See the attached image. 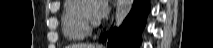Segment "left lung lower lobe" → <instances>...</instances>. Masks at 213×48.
<instances>
[{
  "mask_svg": "<svg viewBox=\"0 0 213 48\" xmlns=\"http://www.w3.org/2000/svg\"><path fill=\"white\" fill-rule=\"evenodd\" d=\"M148 11L149 0H135L131 12L120 29L111 28L108 36V48H137ZM106 39L107 33H104L100 37V41L104 42Z\"/></svg>",
  "mask_w": 213,
  "mask_h": 48,
  "instance_id": "obj_1",
  "label": "left lung lower lobe"
}]
</instances>
